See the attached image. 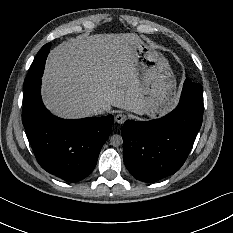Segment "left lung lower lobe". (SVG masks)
I'll use <instances>...</instances> for the list:
<instances>
[{
  "instance_id": "1",
  "label": "left lung lower lobe",
  "mask_w": 233,
  "mask_h": 233,
  "mask_svg": "<svg viewBox=\"0 0 233 233\" xmlns=\"http://www.w3.org/2000/svg\"><path fill=\"white\" fill-rule=\"evenodd\" d=\"M203 119V88L186 79L178 106L163 118L127 120L122 127L124 163L138 180L155 182L184 164Z\"/></svg>"
}]
</instances>
